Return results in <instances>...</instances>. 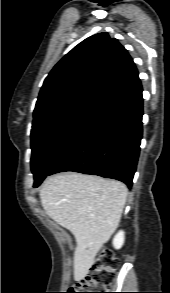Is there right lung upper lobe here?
<instances>
[{
  "label": "right lung upper lobe",
  "instance_id": "right-lung-upper-lobe-1",
  "mask_svg": "<svg viewBox=\"0 0 170 293\" xmlns=\"http://www.w3.org/2000/svg\"><path fill=\"white\" fill-rule=\"evenodd\" d=\"M141 87L127 50L107 33L88 37L52 69L41 88L33 125L67 107L107 106Z\"/></svg>",
  "mask_w": 170,
  "mask_h": 293
}]
</instances>
